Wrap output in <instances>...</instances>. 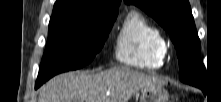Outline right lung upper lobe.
<instances>
[{
	"instance_id": "right-lung-upper-lobe-1",
	"label": "right lung upper lobe",
	"mask_w": 221,
	"mask_h": 102,
	"mask_svg": "<svg viewBox=\"0 0 221 102\" xmlns=\"http://www.w3.org/2000/svg\"><path fill=\"white\" fill-rule=\"evenodd\" d=\"M121 0H57L53 13H91L118 11Z\"/></svg>"
}]
</instances>
